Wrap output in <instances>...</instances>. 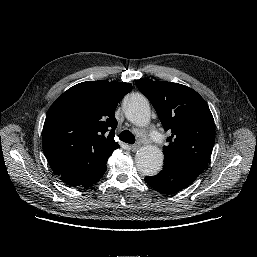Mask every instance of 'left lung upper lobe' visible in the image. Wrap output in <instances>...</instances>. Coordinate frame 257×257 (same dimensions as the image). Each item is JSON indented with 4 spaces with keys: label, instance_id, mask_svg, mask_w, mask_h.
Listing matches in <instances>:
<instances>
[{
    "label": "left lung upper lobe",
    "instance_id": "obj_1",
    "mask_svg": "<svg viewBox=\"0 0 257 257\" xmlns=\"http://www.w3.org/2000/svg\"><path fill=\"white\" fill-rule=\"evenodd\" d=\"M139 91L152 103L171 136L163 147L164 161L200 175L215 141V124L205 100L193 89L166 81L136 80Z\"/></svg>",
    "mask_w": 257,
    "mask_h": 257
}]
</instances>
